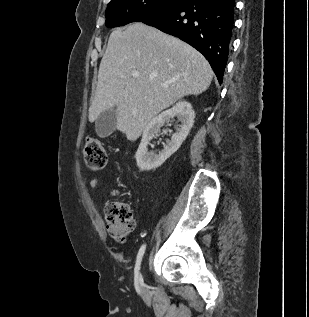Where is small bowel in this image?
I'll return each instance as SVG.
<instances>
[{
	"instance_id": "small-bowel-1",
	"label": "small bowel",
	"mask_w": 309,
	"mask_h": 317,
	"mask_svg": "<svg viewBox=\"0 0 309 317\" xmlns=\"http://www.w3.org/2000/svg\"><path fill=\"white\" fill-rule=\"evenodd\" d=\"M97 185H98V180H97V178L96 177H92L91 178V180H90V186H91V188H96L97 187Z\"/></svg>"
}]
</instances>
